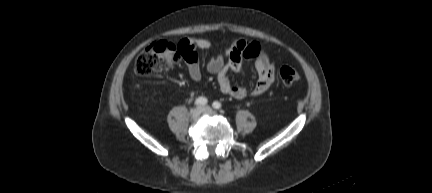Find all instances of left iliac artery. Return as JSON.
Returning a JSON list of instances; mask_svg holds the SVG:
<instances>
[{
	"label": "left iliac artery",
	"instance_id": "obj_1",
	"mask_svg": "<svg viewBox=\"0 0 432 193\" xmlns=\"http://www.w3.org/2000/svg\"><path fill=\"white\" fill-rule=\"evenodd\" d=\"M212 106L215 109H220L222 107V104L220 102H218V101H215V102H213Z\"/></svg>",
	"mask_w": 432,
	"mask_h": 193
}]
</instances>
